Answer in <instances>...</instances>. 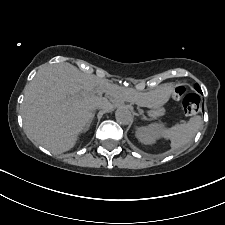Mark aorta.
I'll return each mask as SVG.
<instances>
[{
	"instance_id": "762f6f07",
	"label": "aorta",
	"mask_w": 225,
	"mask_h": 225,
	"mask_svg": "<svg viewBox=\"0 0 225 225\" xmlns=\"http://www.w3.org/2000/svg\"><path fill=\"white\" fill-rule=\"evenodd\" d=\"M116 120L121 125H128L132 123L133 117L129 109L126 107H120L115 112Z\"/></svg>"
}]
</instances>
